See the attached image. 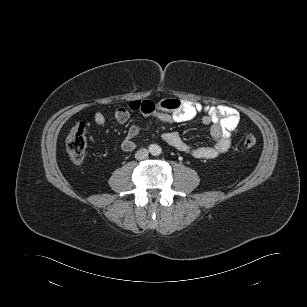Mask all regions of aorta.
<instances>
[{
	"instance_id": "obj_1",
	"label": "aorta",
	"mask_w": 307,
	"mask_h": 307,
	"mask_svg": "<svg viewBox=\"0 0 307 307\" xmlns=\"http://www.w3.org/2000/svg\"><path fill=\"white\" fill-rule=\"evenodd\" d=\"M150 152H151L152 155L157 156V155H160V154H161L162 149H161V147H160L159 145H157V144H152V145L150 146Z\"/></svg>"
}]
</instances>
